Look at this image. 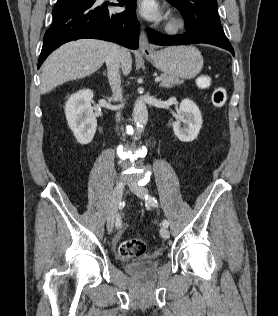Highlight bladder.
Returning <instances> with one entry per match:
<instances>
[{
  "instance_id": "1",
  "label": "bladder",
  "mask_w": 278,
  "mask_h": 316,
  "mask_svg": "<svg viewBox=\"0 0 278 316\" xmlns=\"http://www.w3.org/2000/svg\"><path fill=\"white\" fill-rule=\"evenodd\" d=\"M158 267V261L157 260H148L145 262H142L140 264H127L126 269L130 272H136L141 271L146 275H152L155 273Z\"/></svg>"
}]
</instances>
